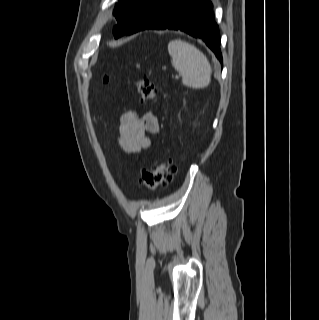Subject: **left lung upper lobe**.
I'll list each match as a JSON object with an SVG mask.
<instances>
[{
  "instance_id": "obj_1",
  "label": "left lung upper lobe",
  "mask_w": 319,
  "mask_h": 320,
  "mask_svg": "<svg viewBox=\"0 0 319 320\" xmlns=\"http://www.w3.org/2000/svg\"><path fill=\"white\" fill-rule=\"evenodd\" d=\"M158 0H120L116 5L113 15L118 24L113 29L115 38L129 30L133 23Z\"/></svg>"
}]
</instances>
